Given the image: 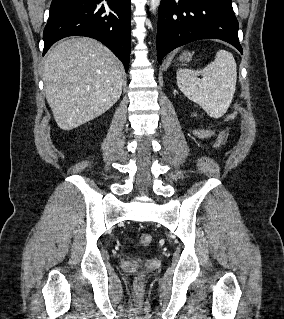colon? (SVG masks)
<instances>
[{
  "label": "colon",
  "mask_w": 284,
  "mask_h": 319,
  "mask_svg": "<svg viewBox=\"0 0 284 319\" xmlns=\"http://www.w3.org/2000/svg\"><path fill=\"white\" fill-rule=\"evenodd\" d=\"M237 117V113L236 112H230L228 114L225 115V120L227 122L233 121L234 119H236ZM227 140V131L226 130H222L216 139V146L217 147H221L223 145H225ZM152 242V236L148 233H142L139 236V243L141 246H148L150 245ZM143 288H144V284H143V275L138 276V278L135 280L134 283V290L137 294H141L143 292Z\"/></svg>",
  "instance_id": "1"
}]
</instances>
